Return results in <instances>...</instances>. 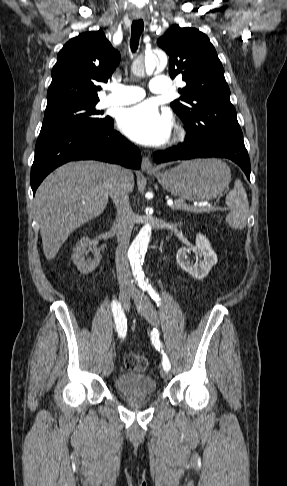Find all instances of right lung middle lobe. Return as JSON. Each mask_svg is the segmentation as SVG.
Here are the masks:
<instances>
[{"mask_svg": "<svg viewBox=\"0 0 287 486\" xmlns=\"http://www.w3.org/2000/svg\"><path fill=\"white\" fill-rule=\"evenodd\" d=\"M99 99L71 101L46 107L39 136L67 131H81L103 125L108 117H102L95 106Z\"/></svg>", "mask_w": 287, "mask_h": 486, "instance_id": "right-lung-middle-lobe-1", "label": "right lung middle lobe"}]
</instances>
